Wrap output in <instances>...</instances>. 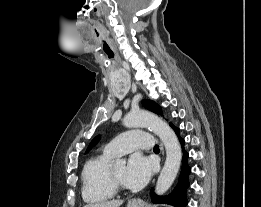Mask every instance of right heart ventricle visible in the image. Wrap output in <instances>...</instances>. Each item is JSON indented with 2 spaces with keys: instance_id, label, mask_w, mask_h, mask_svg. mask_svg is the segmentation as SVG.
Segmentation results:
<instances>
[{
  "instance_id": "right-heart-ventricle-1",
  "label": "right heart ventricle",
  "mask_w": 261,
  "mask_h": 207,
  "mask_svg": "<svg viewBox=\"0 0 261 207\" xmlns=\"http://www.w3.org/2000/svg\"><path fill=\"white\" fill-rule=\"evenodd\" d=\"M113 155L103 151L90 158L83 167L82 197L87 203H100L111 199L114 190L108 180V171Z\"/></svg>"
}]
</instances>
